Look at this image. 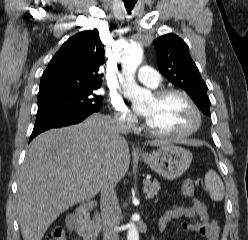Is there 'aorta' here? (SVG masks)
<instances>
[{
    "label": "aorta",
    "mask_w": 248,
    "mask_h": 240,
    "mask_svg": "<svg viewBox=\"0 0 248 240\" xmlns=\"http://www.w3.org/2000/svg\"><path fill=\"white\" fill-rule=\"evenodd\" d=\"M143 49L137 43L125 47L122 53V66L124 78L121 81L123 94L134 107H139L151 98L150 91L140 87L135 81V73L142 62ZM127 240H139V233L134 223L128 225Z\"/></svg>",
    "instance_id": "1"
}]
</instances>
